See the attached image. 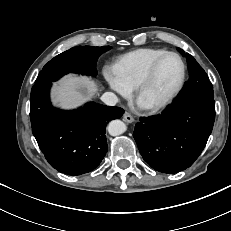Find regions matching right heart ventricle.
<instances>
[{
    "label": "right heart ventricle",
    "instance_id": "right-heart-ventricle-1",
    "mask_svg": "<svg viewBox=\"0 0 231 231\" xmlns=\"http://www.w3.org/2000/svg\"><path fill=\"white\" fill-rule=\"evenodd\" d=\"M166 52L162 48L136 49L119 57L112 70L128 88H135L151 64Z\"/></svg>",
    "mask_w": 231,
    "mask_h": 231
}]
</instances>
